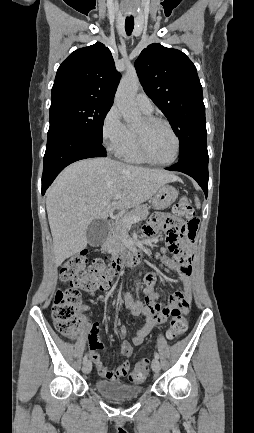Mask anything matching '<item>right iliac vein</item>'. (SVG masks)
Here are the masks:
<instances>
[{"mask_svg": "<svg viewBox=\"0 0 254 433\" xmlns=\"http://www.w3.org/2000/svg\"><path fill=\"white\" fill-rule=\"evenodd\" d=\"M91 369H92L91 362L90 361L85 362L82 367L83 373L88 374L91 372Z\"/></svg>", "mask_w": 254, "mask_h": 433, "instance_id": "63e3f726", "label": "right iliac vein"}]
</instances>
